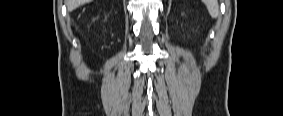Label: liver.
Returning a JSON list of instances; mask_svg holds the SVG:
<instances>
[{
	"label": "liver",
	"instance_id": "1",
	"mask_svg": "<svg viewBox=\"0 0 283 116\" xmlns=\"http://www.w3.org/2000/svg\"><path fill=\"white\" fill-rule=\"evenodd\" d=\"M91 0H66L67 8L69 11L76 9L77 7L90 2Z\"/></svg>",
	"mask_w": 283,
	"mask_h": 116
}]
</instances>
